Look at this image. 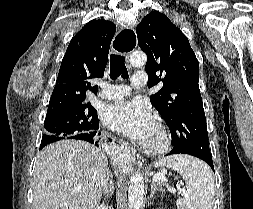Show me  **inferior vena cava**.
I'll return each instance as SVG.
<instances>
[{"label": "inferior vena cava", "instance_id": "inferior-vena-cava-1", "mask_svg": "<svg viewBox=\"0 0 253 209\" xmlns=\"http://www.w3.org/2000/svg\"><path fill=\"white\" fill-rule=\"evenodd\" d=\"M110 181L112 180L110 179L109 173L107 172L106 175L104 176V181H103V187L105 190L106 197H108L109 195L113 193L111 185H110Z\"/></svg>", "mask_w": 253, "mask_h": 209}]
</instances>
